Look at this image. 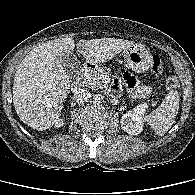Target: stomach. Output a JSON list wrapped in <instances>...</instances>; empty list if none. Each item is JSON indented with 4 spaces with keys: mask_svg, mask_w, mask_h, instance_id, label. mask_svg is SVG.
Here are the masks:
<instances>
[{
    "mask_svg": "<svg viewBox=\"0 0 195 195\" xmlns=\"http://www.w3.org/2000/svg\"><path fill=\"white\" fill-rule=\"evenodd\" d=\"M126 65L136 73L148 71L152 64V55L142 44H134L123 51Z\"/></svg>",
    "mask_w": 195,
    "mask_h": 195,
    "instance_id": "stomach-1",
    "label": "stomach"
}]
</instances>
